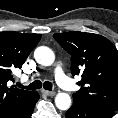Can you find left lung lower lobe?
<instances>
[{"label": "left lung lower lobe", "mask_w": 118, "mask_h": 118, "mask_svg": "<svg viewBox=\"0 0 118 118\" xmlns=\"http://www.w3.org/2000/svg\"><path fill=\"white\" fill-rule=\"evenodd\" d=\"M114 112L115 110L110 108L74 101L66 113V118H111Z\"/></svg>", "instance_id": "left-lung-lower-lobe-1"}]
</instances>
